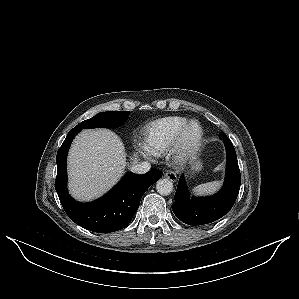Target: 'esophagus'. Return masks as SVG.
Returning <instances> with one entry per match:
<instances>
[{"mask_svg": "<svg viewBox=\"0 0 299 299\" xmlns=\"http://www.w3.org/2000/svg\"><path fill=\"white\" fill-rule=\"evenodd\" d=\"M164 176L166 177V178H168L170 181H172V182H176L177 181V175L173 172V171H166L165 173H164Z\"/></svg>", "mask_w": 299, "mask_h": 299, "instance_id": "obj_1", "label": "esophagus"}]
</instances>
